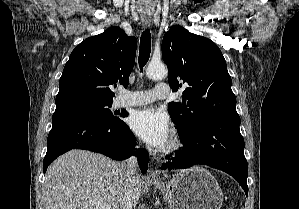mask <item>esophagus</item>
Returning <instances> with one entry per match:
<instances>
[{
	"mask_svg": "<svg viewBox=\"0 0 299 209\" xmlns=\"http://www.w3.org/2000/svg\"><path fill=\"white\" fill-rule=\"evenodd\" d=\"M141 22L144 26H149L151 23V17L143 16L141 17ZM148 177L153 180L158 179V175L153 169L149 170Z\"/></svg>",
	"mask_w": 299,
	"mask_h": 209,
	"instance_id": "34e87169",
	"label": "esophagus"
}]
</instances>
